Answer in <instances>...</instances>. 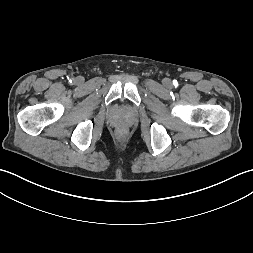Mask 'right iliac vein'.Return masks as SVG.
I'll list each match as a JSON object with an SVG mask.
<instances>
[{
    "instance_id": "63e3f726",
    "label": "right iliac vein",
    "mask_w": 253,
    "mask_h": 253,
    "mask_svg": "<svg viewBox=\"0 0 253 253\" xmlns=\"http://www.w3.org/2000/svg\"><path fill=\"white\" fill-rule=\"evenodd\" d=\"M83 81H84V78L81 77V76H78V77L76 78V82H77L78 84L83 83Z\"/></svg>"
}]
</instances>
